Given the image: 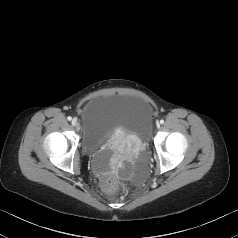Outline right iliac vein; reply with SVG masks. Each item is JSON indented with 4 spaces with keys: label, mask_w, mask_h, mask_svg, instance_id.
Listing matches in <instances>:
<instances>
[{
    "label": "right iliac vein",
    "mask_w": 238,
    "mask_h": 238,
    "mask_svg": "<svg viewBox=\"0 0 238 238\" xmlns=\"http://www.w3.org/2000/svg\"><path fill=\"white\" fill-rule=\"evenodd\" d=\"M71 123H72L73 126H77L78 125V121H77L76 118H74Z\"/></svg>",
    "instance_id": "63e3f726"
}]
</instances>
